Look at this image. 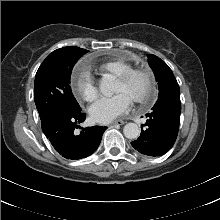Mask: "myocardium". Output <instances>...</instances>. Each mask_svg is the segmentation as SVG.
Wrapping results in <instances>:
<instances>
[{
  "instance_id": "myocardium-1",
  "label": "myocardium",
  "mask_w": 220,
  "mask_h": 220,
  "mask_svg": "<svg viewBox=\"0 0 220 220\" xmlns=\"http://www.w3.org/2000/svg\"><path fill=\"white\" fill-rule=\"evenodd\" d=\"M137 76H142L145 79L146 88L143 94L136 98L135 101L139 104H146L150 102L156 94L154 77L148 68L143 66L131 67L118 77V81L128 83Z\"/></svg>"
}]
</instances>
